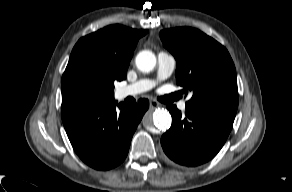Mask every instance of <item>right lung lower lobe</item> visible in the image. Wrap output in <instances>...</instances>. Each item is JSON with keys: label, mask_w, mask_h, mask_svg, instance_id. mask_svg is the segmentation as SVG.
Masks as SVG:
<instances>
[{"label": "right lung lower lobe", "mask_w": 292, "mask_h": 192, "mask_svg": "<svg viewBox=\"0 0 292 192\" xmlns=\"http://www.w3.org/2000/svg\"><path fill=\"white\" fill-rule=\"evenodd\" d=\"M62 104L64 128L77 155L90 167L108 170L126 158L132 136L149 107L146 99L129 106Z\"/></svg>", "instance_id": "1"}]
</instances>
